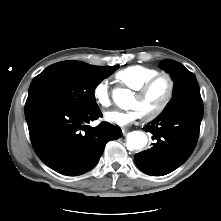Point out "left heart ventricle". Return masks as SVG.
<instances>
[{
    "instance_id": "b2bd125f",
    "label": "left heart ventricle",
    "mask_w": 221,
    "mask_h": 221,
    "mask_svg": "<svg viewBox=\"0 0 221 221\" xmlns=\"http://www.w3.org/2000/svg\"><path fill=\"white\" fill-rule=\"evenodd\" d=\"M168 84L165 79L159 80L144 97L133 96L130 107L137 109L141 115L153 112L164 100Z\"/></svg>"
}]
</instances>
